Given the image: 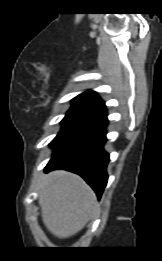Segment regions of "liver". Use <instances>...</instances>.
I'll return each mask as SVG.
<instances>
[{
    "label": "liver",
    "instance_id": "6515ba94",
    "mask_svg": "<svg viewBox=\"0 0 162 261\" xmlns=\"http://www.w3.org/2000/svg\"><path fill=\"white\" fill-rule=\"evenodd\" d=\"M39 191L44 225L58 238L75 235L97 211L94 192L73 173L59 170L48 174Z\"/></svg>",
    "mask_w": 162,
    "mask_h": 261
}]
</instances>
